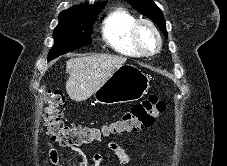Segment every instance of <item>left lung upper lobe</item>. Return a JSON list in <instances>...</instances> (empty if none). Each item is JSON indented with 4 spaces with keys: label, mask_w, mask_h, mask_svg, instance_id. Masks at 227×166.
<instances>
[{
    "label": "left lung upper lobe",
    "mask_w": 227,
    "mask_h": 166,
    "mask_svg": "<svg viewBox=\"0 0 227 166\" xmlns=\"http://www.w3.org/2000/svg\"><path fill=\"white\" fill-rule=\"evenodd\" d=\"M139 13L153 20L167 37L165 19L162 11L155 5L153 0H126Z\"/></svg>",
    "instance_id": "1"
}]
</instances>
